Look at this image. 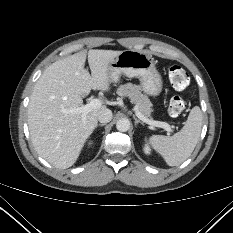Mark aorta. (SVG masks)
<instances>
[{"mask_svg": "<svg viewBox=\"0 0 233 233\" xmlns=\"http://www.w3.org/2000/svg\"><path fill=\"white\" fill-rule=\"evenodd\" d=\"M116 128L120 132H126L130 128V121L126 118L119 119L116 123Z\"/></svg>", "mask_w": 233, "mask_h": 233, "instance_id": "aorta-1", "label": "aorta"}]
</instances>
